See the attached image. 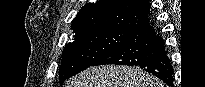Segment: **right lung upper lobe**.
Masks as SVG:
<instances>
[{
    "instance_id": "right-lung-upper-lobe-1",
    "label": "right lung upper lobe",
    "mask_w": 205,
    "mask_h": 87,
    "mask_svg": "<svg viewBox=\"0 0 205 87\" xmlns=\"http://www.w3.org/2000/svg\"><path fill=\"white\" fill-rule=\"evenodd\" d=\"M149 0H98L84 5L72 22L75 36L97 30L134 33L150 23Z\"/></svg>"
}]
</instances>
